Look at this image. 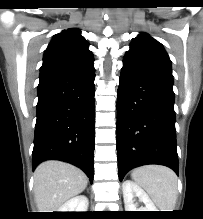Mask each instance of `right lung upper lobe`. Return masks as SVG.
Returning <instances> with one entry per match:
<instances>
[{
	"mask_svg": "<svg viewBox=\"0 0 203 219\" xmlns=\"http://www.w3.org/2000/svg\"><path fill=\"white\" fill-rule=\"evenodd\" d=\"M93 60L88 43L77 28L54 35L45 50L41 70L59 66L80 65Z\"/></svg>",
	"mask_w": 203,
	"mask_h": 219,
	"instance_id": "right-lung-upper-lobe-1",
	"label": "right lung upper lobe"
}]
</instances>
